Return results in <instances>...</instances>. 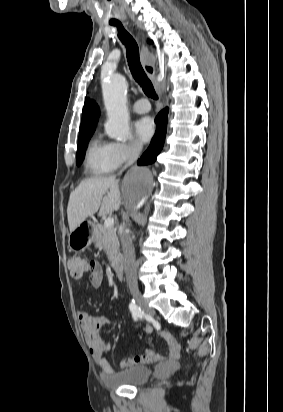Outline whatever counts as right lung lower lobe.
Returning <instances> with one entry per match:
<instances>
[{
	"instance_id": "98d812e1",
	"label": "right lung lower lobe",
	"mask_w": 283,
	"mask_h": 412,
	"mask_svg": "<svg viewBox=\"0 0 283 412\" xmlns=\"http://www.w3.org/2000/svg\"><path fill=\"white\" fill-rule=\"evenodd\" d=\"M169 109H163L156 117V133L151 141L150 146L138 160V165H149L155 162L156 157L163 148L165 135L167 131Z\"/></svg>"
}]
</instances>
